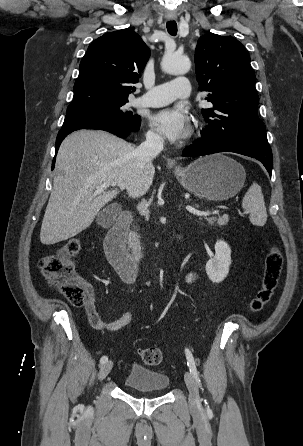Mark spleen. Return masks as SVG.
<instances>
[{"mask_svg": "<svg viewBox=\"0 0 303 446\" xmlns=\"http://www.w3.org/2000/svg\"><path fill=\"white\" fill-rule=\"evenodd\" d=\"M242 207L250 213V222L256 226H264L267 221V211L261 187L254 182L246 192Z\"/></svg>", "mask_w": 303, "mask_h": 446, "instance_id": "1", "label": "spleen"}]
</instances>
